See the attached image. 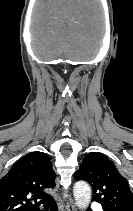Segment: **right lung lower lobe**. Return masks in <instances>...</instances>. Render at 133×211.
I'll use <instances>...</instances> for the list:
<instances>
[{
    "label": "right lung lower lobe",
    "mask_w": 133,
    "mask_h": 211,
    "mask_svg": "<svg viewBox=\"0 0 133 211\" xmlns=\"http://www.w3.org/2000/svg\"><path fill=\"white\" fill-rule=\"evenodd\" d=\"M49 205L51 206V211H57V206L54 203V200H52Z\"/></svg>",
    "instance_id": "obj_1"
}]
</instances>
